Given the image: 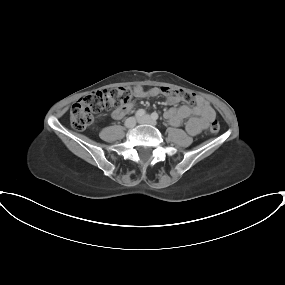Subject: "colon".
<instances>
[{
  "instance_id": "5ec220e1",
  "label": "colon",
  "mask_w": 285,
  "mask_h": 285,
  "mask_svg": "<svg viewBox=\"0 0 285 285\" xmlns=\"http://www.w3.org/2000/svg\"><path fill=\"white\" fill-rule=\"evenodd\" d=\"M163 94L178 95L188 104L196 103L197 97L194 93L183 89H172L163 86L160 88ZM133 94L130 87H116L112 89L94 91L78 100L70 109V123L78 131L88 128L94 120L95 115L110 108L120 107L129 102ZM210 131L214 134L220 131V124L212 120Z\"/></svg>"
}]
</instances>
